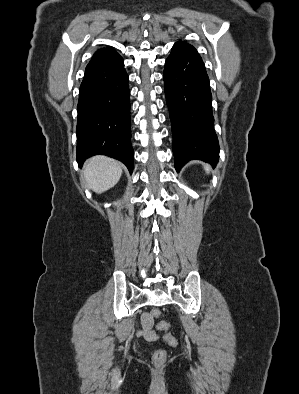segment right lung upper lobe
Here are the masks:
<instances>
[{
  "instance_id": "obj_1",
  "label": "right lung upper lobe",
  "mask_w": 299,
  "mask_h": 394,
  "mask_svg": "<svg viewBox=\"0 0 299 394\" xmlns=\"http://www.w3.org/2000/svg\"><path fill=\"white\" fill-rule=\"evenodd\" d=\"M114 54H118V53L116 51H114L111 47L99 49L93 55L92 60L97 59V58H101V57H105V56L114 55Z\"/></svg>"
}]
</instances>
